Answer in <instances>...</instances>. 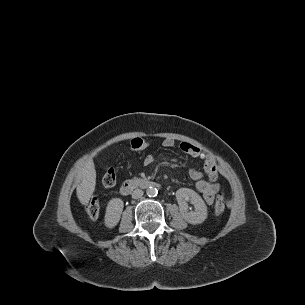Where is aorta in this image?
Wrapping results in <instances>:
<instances>
[{"mask_svg": "<svg viewBox=\"0 0 305 305\" xmlns=\"http://www.w3.org/2000/svg\"><path fill=\"white\" fill-rule=\"evenodd\" d=\"M146 193L149 197H155L158 194V190L154 186H150L147 188Z\"/></svg>", "mask_w": 305, "mask_h": 305, "instance_id": "obj_1", "label": "aorta"}]
</instances>
